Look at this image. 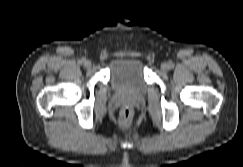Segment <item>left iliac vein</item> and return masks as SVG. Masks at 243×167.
Returning a JSON list of instances; mask_svg holds the SVG:
<instances>
[{
  "instance_id": "4c4485c4",
  "label": "left iliac vein",
  "mask_w": 243,
  "mask_h": 167,
  "mask_svg": "<svg viewBox=\"0 0 243 167\" xmlns=\"http://www.w3.org/2000/svg\"><path fill=\"white\" fill-rule=\"evenodd\" d=\"M169 68H170L169 63L164 62L161 64V70L163 72H167L169 70Z\"/></svg>"
}]
</instances>
